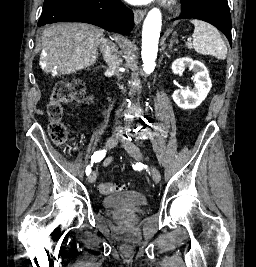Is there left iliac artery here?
I'll return each mask as SVG.
<instances>
[{"instance_id":"left-iliac-artery-1","label":"left iliac artery","mask_w":256,"mask_h":267,"mask_svg":"<svg viewBox=\"0 0 256 267\" xmlns=\"http://www.w3.org/2000/svg\"><path fill=\"white\" fill-rule=\"evenodd\" d=\"M133 167L135 169L141 170V169H143V167H145V165H143L142 163H136V165L135 166L133 165Z\"/></svg>"}]
</instances>
